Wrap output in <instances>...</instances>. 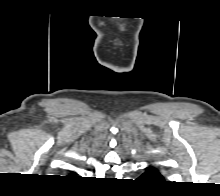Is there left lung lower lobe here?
<instances>
[{"instance_id": "0a47b994", "label": "left lung lower lobe", "mask_w": 220, "mask_h": 196, "mask_svg": "<svg viewBox=\"0 0 220 196\" xmlns=\"http://www.w3.org/2000/svg\"><path fill=\"white\" fill-rule=\"evenodd\" d=\"M140 180L150 183V182H163L164 178L163 176L160 174V172L153 167H147V170L145 173H143L141 175V177L139 178Z\"/></svg>"}]
</instances>
